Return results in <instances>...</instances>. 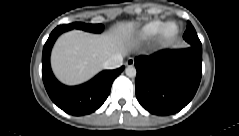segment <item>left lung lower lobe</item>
<instances>
[{"instance_id":"obj_1","label":"left lung lower lobe","mask_w":239,"mask_h":136,"mask_svg":"<svg viewBox=\"0 0 239 136\" xmlns=\"http://www.w3.org/2000/svg\"><path fill=\"white\" fill-rule=\"evenodd\" d=\"M136 97L152 114L179 112L194 97L202 76V49H164L135 58Z\"/></svg>"}]
</instances>
